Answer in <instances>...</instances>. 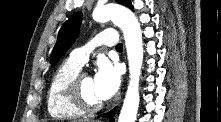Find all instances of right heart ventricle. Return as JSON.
Masks as SVG:
<instances>
[{
  "label": "right heart ventricle",
  "instance_id": "e07e8e85",
  "mask_svg": "<svg viewBox=\"0 0 221 122\" xmlns=\"http://www.w3.org/2000/svg\"><path fill=\"white\" fill-rule=\"evenodd\" d=\"M81 66L71 59L63 62L55 71L47 91V109L56 119H73L84 115L68 97L67 86L70 80L80 71Z\"/></svg>",
  "mask_w": 221,
  "mask_h": 122
}]
</instances>
